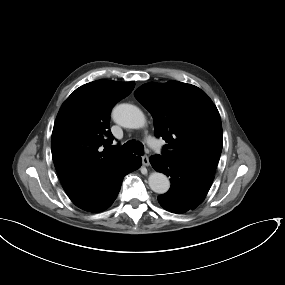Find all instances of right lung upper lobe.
<instances>
[{
  "label": "right lung upper lobe",
  "mask_w": 285,
  "mask_h": 285,
  "mask_svg": "<svg viewBox=\"0 0 285 285\" xmlns=\"http://www.w3.org/2000/svg\"><path fill=\"white\" fill-rule=\"evenodd\" d=\"M134 86V82L109 80L84 84L58 112L52 132V158L66 194L77 206L93 198L134 157L108 149L113 140L110 112Z\"/></svg>",
  "instance_id": "1"
}]
</instances>
